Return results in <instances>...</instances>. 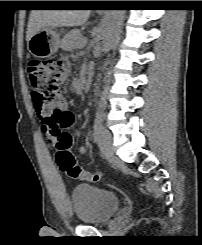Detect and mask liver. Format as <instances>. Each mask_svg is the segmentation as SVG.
Returning <instances> with one entry per match:
<instances>
[{
  "label": "liver",
  "instance_id": "liver-1",
  "mask_svg": "<svg viewBox=\"0 0 202 245\" xmlns=\"http://www.w3.org/2000/svg\"><path fill=\"white\" fill-rule=\"evenodd\" d=\"M90 10H32L26 32L27 42L37 31L46 26L74 27L83 25Z\"/></svg>",
  "mask_w": 202,
  "mask_h": 245
}]
</instances>
